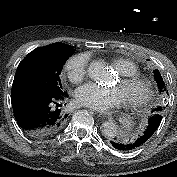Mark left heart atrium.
I'll use <instances>...</instances> for the list:
<instances>
[{"label": "left heart atrium", "instance_id": "obj_1", "mask_svg": "<svg viewBox=\"0 0 177 177\" xmlns=\"http://www.w3.org/2000/svg\"><path fill=\"white\" fill-rule=\"evenodd\" d=\"M75 98L80 105L97 111L109 110L125 101L118 87H105L92 82L79 87L75 92Z\"/></svg>", "mask_w": 177, "mask_h": 177}]
</instances>
